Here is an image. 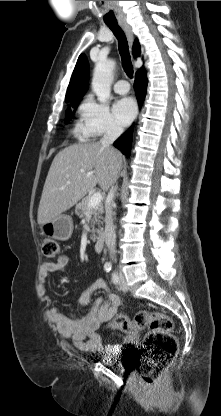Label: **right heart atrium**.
Listing matches in <instances>:
<instances>
[{"instance_id":"obj_1","label":"right heart atrium","mask_w":221,"mask_h":416,"mask_svg":"<svg viewBox=\"0 0 221 416\" xmlns=\"http://www.w3.org/2000/svg\"><path fill=\"white\" fill-rule=\"evenodd\" d=\"M80 123L78 132L85 138H98L103 135L118 136L122 128L109 107L87 95L79 106Z\"/></svg>"}]
</instances>
